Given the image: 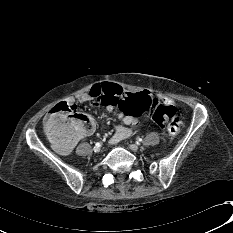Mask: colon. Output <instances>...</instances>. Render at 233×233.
Wrapping results in <instances>:
<instances>
[{
  "label": "colon",
  "instance_id": "colon-1",
  "mask_svg": "<svg viewBox=\"0 0 233 233\" xmlns=\"http://www.w3.org/2000/svg\"><path fill=\"white\" fill-rule=\"evenodd\" d=\"M91 96L95 101L110 104L130 116L148 110L150 119L166 128L169 135L176 136L180 132L181 118L176 114L175 106L160 104L150 90L134 92L120 83L100 82L92 87ZM92 131L91 117L77 112L74 107L65 103L54 106L46 122V132L56 143H61V139H81L90 135Z\"/></svg>",
  "mask_w": 233,
  "mask_h": 233
}]
</instances>
